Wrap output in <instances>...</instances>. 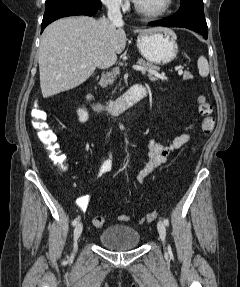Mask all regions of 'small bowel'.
Returning <instances> with one entry per match:
<instances>
[{"mask_svg": "<svg viewBox=\"0 0 240 287\" xmlns=\"http://www.w3.org/2000/svg\"><path fill=\"white\" fill-rule=\"evenodd\" d=\"M146 90V89H145ZM190 137L188 134H181L175 137L168 143L157 142L154 139L149 141L148 149V162L144 166V168L138 173L137 181L142 182L143 179L149 175L155 168L161 166L166 163L172 153L179 150L182 146H184ZM113 161L110 156L102 157L100 166L98 169V175L103 176L108 174L112 169ZM89 203V196L84 195L78 198L77 205L81 210H85Z\"/></svg>", "mask_w": 240, "mask_h": 287, "instance_id": "small-bowel-1", "label": "small bowel"}]
</instances>
